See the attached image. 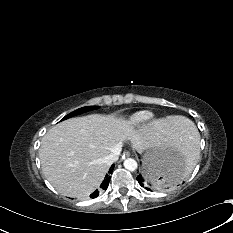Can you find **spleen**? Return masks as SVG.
I'll use <instances>...</instances> for the list:
<instances>
[{"label": "spleen", "instance_id": "obj_1", "mask_svg": "<svg viewBox=\"0 0 233 233\" xmlns=\"http://www.w3.org/2000/svg\"><path fill=\"white\" fill-rule=\"evenodd\" d=\"M198 137L197 130L193 123L188 119H184V126L178 132V141L171 148H178L180 153H183L182 158L185 164V170L188 169L189 164L197 162L199 160L200 154L198 151ZM184 173L178 178L180 181Z\"/></svg>", "mask_w": 233, "mask_h": 233}]
</instances>
